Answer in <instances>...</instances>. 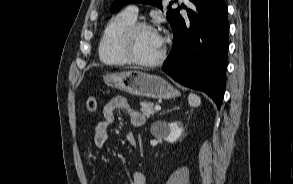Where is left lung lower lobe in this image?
Returning a JSON list of instances; mask_svg holds the SVG:
<instances>
[{"instance_id":"0a47b994","label":"left lung lower lobe","mask_w":293,"mask_h":184,"mask_svg":"<svg viewBox=\"0 0 293 184\" xmlns=\"http://www.w3.org/2000/svg\"><path fill=\"white\" fill-rule=\"evenodd\" d=\"M174 10L173 47L163 71L182 85L207 93L218 109L225 91L229 24L224 0H189Z\"/></svg>"}]
</instances>
